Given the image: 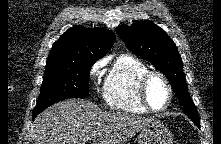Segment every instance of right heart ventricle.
<instances>
[{
    "label": "right heart ventricle",
    "mask_w": 221,
    "mask_h": 144,
    "mask_svg": "<svg viewBox=\"0 0 221 144\" xmlns=\"http://www.w3.org/2000/svg\"><path fill=\"white\" fill-rule=\"evenodd\" d=\"M147 66L130 55H120L112 63L103 86V98L112 109L144 114L148 111L137 94V82Z\"/></svg>",
    "instance_id": "e07e8e85"
}]
</instances>
